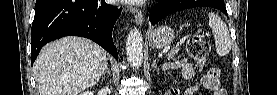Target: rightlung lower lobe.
Listing matches in <instances>:
<instances>
[{
    "instance_id": "obj_1",
    "label": "right lung lower lobe",
    "mask_w": 277,
    "mask_h": 95,
    "mask_svg": "<svg viewBox=\"0 0 277 95\" xmlns=\"http://www.w3.org/2000/svg\"><path fill=\"white\" fill-rule=\"evenodd\" d=\"M120 14L121 8L104 0H36L31 63L46 43L71 35L93 40L117 59L112 30Z\"/></svg>"
}]
</instances>
